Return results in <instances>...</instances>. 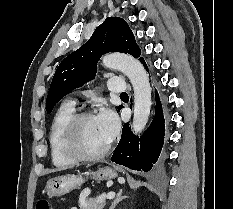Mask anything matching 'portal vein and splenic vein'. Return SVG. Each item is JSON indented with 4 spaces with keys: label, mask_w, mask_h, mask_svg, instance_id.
Wrapping results in <instances>:
<instances>
[{
    "label": "portal vein and splenic vein",
    "mask_w": 233,
    "mask_h": 209,
    "mask_svg": "<svg viewBox=\"0 0 233 209\" xmlns=\"http://www.w3.org/2000/svg\"><path fill=\"white\" fill-rule=\"evenodd\" d=\"M107 199H113L115 197V193L114 192H110L105 196Z\"/></svg>",
    "instance_id": "1"
}]
</instances>
